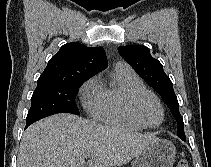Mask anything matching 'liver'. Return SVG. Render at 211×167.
Listing matches in <instances>:
<instances>
[{
  "mask_svg": "<svg viewBox=\"0 0 211 167\" xmlns=\"http://www.w3.org/2000/svg\"><path fill=\"white\" fill-rule=\"evenodd\" d=\"M156 137L122 127H109L74 116L56 114L23 133L17 167H117L137 157Z\"/></svg>",
  "mask_w": 211,
  "mask_h": 167,
  "instance_id": "liver-1",
  "label": "liver"
}]
</instances>
